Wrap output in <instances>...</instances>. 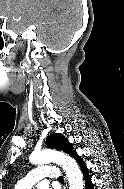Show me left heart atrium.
I'll use <instances>...</instances> for the list:
<instances>
[{
  "label": "left heart atrium",
  "instance_id": "1",
  "mask_svg": "<svg viewBox=\"0 0 124 189\" xmlns=\"http://www.w3.org/2000/svg\"><path fill=\"white\" fill-rule=\"evenodd\" d=\"M42 189H50V188H48V187H44V188H42Z\"/></svg>",
  "mask_w": 124,
  "mask_h": 189
}]
</instances>
